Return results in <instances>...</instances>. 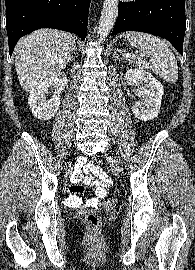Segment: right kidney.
<instances>
[{"instance_id": "obj_1", "label": "right kidney", "mask_w": 195, "mask_h": 270, "mask_svg": "<svg viewBox=\"0 0 195 270\" xmlns=\"http://www.w3.org/2000/svg\"><path fill=\"white\" fill-rule=\"evenodd\" d=\"M67 82L68 80L65 76L55 75L42 81L30 92L28 104L36 118L49 120L55 116L60 106V96ZM52 86L56 87V91L50 99H47L46 94Z\"/></svg>"}]
</instances>
